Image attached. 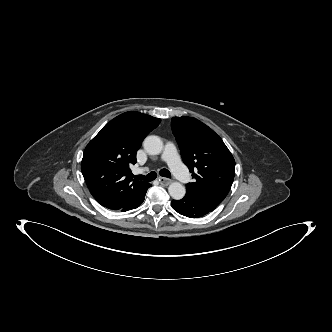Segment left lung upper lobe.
I'll return each instance as SVG.
<instances>
[{
    "label": "left lung upper lobe",
    "instance_id": "1",
    "mask_svg": "<svg viewBox=\"0 0 332 332\" xmlns=\"http://www.w3.org/2000/svg\"><path fill=\"white\" fill-rule=\"evenodd\" d=\"M171 128L194 182L186 193L217 207L227 196L235 175V160L222 139L191 117H174Z\"/></svg>",
    "mask_w": 332,
    "mask_h": 332
}]
</instances>
